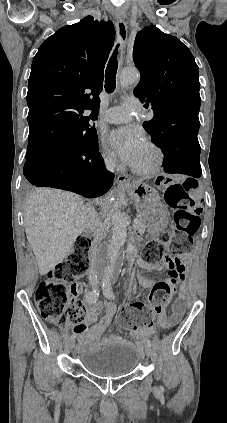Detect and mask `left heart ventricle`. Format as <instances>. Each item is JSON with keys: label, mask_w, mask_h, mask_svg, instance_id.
Segmentation results:
<instances>
[{"label": "left heart ventricle", "mask_w": 227, "mask_h": 423, "mask_svg": "<svg viewBox=\"0 0 227 423\" xmlns=\"http://www.w3.org/2000/svg\"><path fill=\"white\" fill-rule=\"evenodd\" d=\"M154 161H155L154 150L151 147L145 145L142 151L140 152L138 161L135 164V166L140 168H147L151 166Z\"/></svg>", "instance_id": "b2bd125f"}]
</instances>
